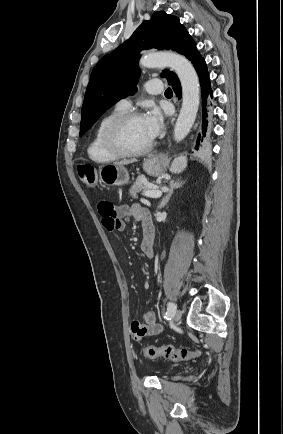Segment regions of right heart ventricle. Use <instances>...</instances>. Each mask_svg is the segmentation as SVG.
<instances>
[{"mask_svg":"<svg viewBox=\"0 0 283 434\" xmlns=\"http://www.w3.org/2000/svg\"><path fill=\"white\" fill-rule=\"evenodd\" d=\"M126 111L118 107L114 108L108 114L101 118L97 124L92 138L87 147V154L89 158L96 163L106 164L111 163L119 159L118 156L109 152L103 144V133L107 125L117 118L118 116L124 114Z\"/></svg>","mask_w":283,"mask_h":434,"instance_id":"obj_1","label":"right heart ventricle"}]
</instances>
